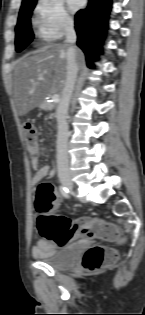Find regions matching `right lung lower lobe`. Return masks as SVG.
Returning a JSON list of instances; mask_svg holds the SVG:
<instances>
[{
	"label": "right lung lower lobe",
	"instance_id": "98d812e1",
	"mask_svg": "<svg viewBox=\"0 0 145 315\" xmlns=\"http://www.w3.org/2000/svg\"><path fill=\"white\" fill-rule=\"evenodd\" d=\"M111 0H89L88 6L75 16L77 45L83 50L88 66L93 67L101 51V44L107 28Z\"/></svg>",
	"mask_w": 145,
	"mask_h": 315
}]
</instances>
